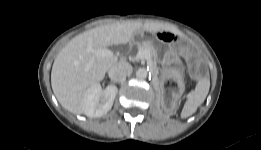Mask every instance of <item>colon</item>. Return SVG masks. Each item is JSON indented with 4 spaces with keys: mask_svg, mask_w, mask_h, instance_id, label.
<instances>
[{
    "mask_svg": "<svg viewBox=\"0 0 261 150\" xmlns=\"http://www.w3.org/2000/svg\"><path fill=\"white\" fill-rule=\"evenodd\" d=\"M159 36L161 39L166 40V41L174 40V35L171 33L163 32V33H160Z\"/></svg>",
    "mask_w": 261,
    "mask_h": 150,
    "instance_id": "obj_1",
    "label": "colon"
}]
</instances>
